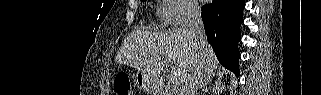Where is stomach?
<instances>
[{
	"instance_id": "stomach-1",
	"label": "stomach",
	"mask_w": 321,
	"mask_h": 95,
	"mask_svg": "<svg viewBox=\"0 0 321 95\" xmlns=\"http://www.w3.org/2000/svg\"><path fill=\"white\" fill-rule=\"evenodd\" d=\"M135 82L138 88L145 92L154 91V84L152 78L142 71H138L136 73Z\"/></svg>"
}]
</instances>
